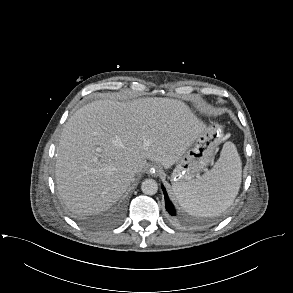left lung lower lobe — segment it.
<instances>
[{"mask_svg": "<svg viewBox=\"0 0 293 293\" xmlns=\"http://www.w3.org/2000/svg\"><path fill=\"white\" fill-rule=\"evenodd\" d=\"M162 189L164 191V196H165V204H166V210L168 211V213L171 215V216H175L176 213H175V209H174V206L172 205V203L170 202V200L168 199V196H167V193L164 189V187L162 186Z\"/></svg>", "mask_w": 293, "mask_h": 293, "instance_id": "left-lung-lower-lobe-1", "label": "left lung lower lobe"}]
</instances>
